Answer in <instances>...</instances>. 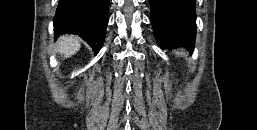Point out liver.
Listing matches in <instances>:
<instances>
[{"label":"liver","mask_w":257,"mask_h":130,"mask_svg":"<svg viewBox=\"0 0 257 130\" xmlns=\"http://www.w3.org/2000/svg\"><path fill=\"white\" fill-rule=\"evenodd\" d=\"M80 42L75 36H62L57 40V51L64 58L71 57L80 49Z\"/></svg>","instance_id":"liver-1"}]
</instances>
